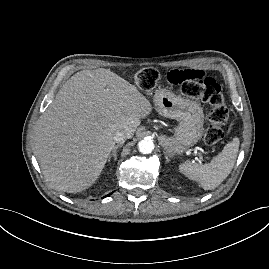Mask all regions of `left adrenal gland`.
<instances>
[{
  "label": "left adrenal gland",
  "instance_id": "obj_1",
  "mask_svg": "<svg viewBox=\"0 0 269 269\" xmlns=\"http://www.w3.org/2000/svg\"><path fill=\"white\" fill-rule=\"evenodd\" d=\"M165 159H166V162H169L170 160H169V158H168V156L165 154Z\"/></svg>",
  "mask_w": 269,
  "mask_h": 269
}]
</instances>
